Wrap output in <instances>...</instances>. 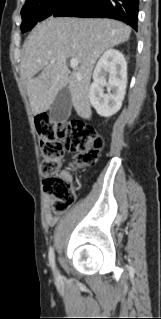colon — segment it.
I'll list each match as a JSON object with an SVG mask.
<instances>
[{
  "label": "colon",
  "mask_w": 161,
  "mask_h": 319,
  "mask_svg": "<svg viewBox=\"0 0 161 319\" xmlns=\"http://www.w3.org/2000/svg\"><path fill=\"white\" fill-rule=\"evenodd\" d=\"M35 127L41 153L43 186L52 196L50 210L54 215H62L75 200L70 178L61 171L65 152L76 154V164H90L96 160L103 140L92 127L78 121L63 123L39 118Z\"/></svg>",
  "instance_id": "1"
}]
</instances>
